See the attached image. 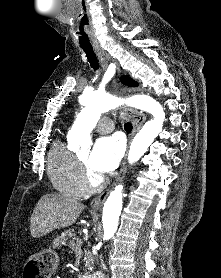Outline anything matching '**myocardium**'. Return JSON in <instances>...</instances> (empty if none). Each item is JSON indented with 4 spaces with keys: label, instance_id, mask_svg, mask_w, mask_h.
Returning <instances> with one entry per match:
<instances>
[{
    "label": "myocardium",
    "instance_id": "obj_1",
    "mask_svg": "<svg viewBox=\"0 0 221 278\" xmlns=\"http://www.w3.org/2000/svg\"><path fill=\"white\" fill-rule=\"evenodd\" d=\"M79 163H80L83 183L86 190L89 191L101 190L106 184L105 179L94 174L82 159H79Z\"/></svg>",
    "mask_w": 221,
    "mask_h": 278
}]
</instances>
